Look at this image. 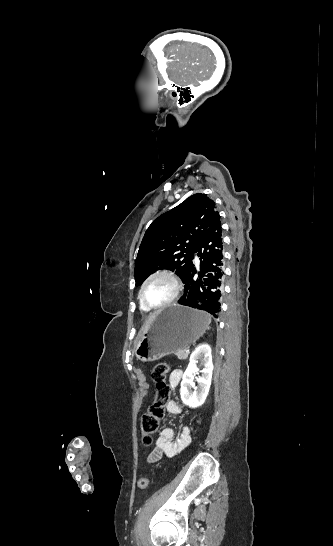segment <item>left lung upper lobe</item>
Wrapping results in <instances>:
<instances>
[{
  "instance_id": "5c2ea615",
  "label": "left lung upper lobe",
  "mask_w": 333,
  "mask_h": 546,
  "mask_svg": "<svg viewBox=\"0 0 333 546\" xmlns=\"http://www.w3.org/2000/svg\"><path fill=\"white\" fill-rule=\"evenodd\" d=\"M219 216L206 194H194L155 219L146 230L135 261L136 286L160 269L176 271L183 281L198 240Z\"/></svg>"
}]
</instances>
